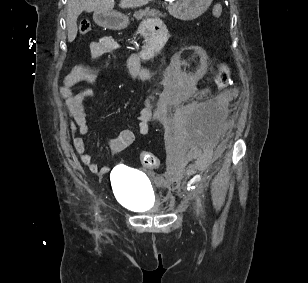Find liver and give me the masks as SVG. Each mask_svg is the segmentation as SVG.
Listing matches in <instances>:
<instances>
[{
  "label": "liver",
  "mask_w": 308,
  "mask_h": 283,
  "mask_svg": "<svg viewBox=\"0 0 308 283\" xmlns=\"http://www.w3.org/2000/svg\"><path fill=\"white\" fill-rule=\"evenodd\" d=\"M153 0H121L119 7L135 8L141 7ZM114 0H68L67 3V32L68 41L73 42L77 36V18L83 12H106L111 13L114 8Z\"/></svg>",
  "instance_id": "1"
}]
</instances>
